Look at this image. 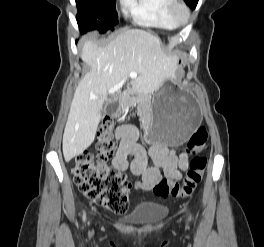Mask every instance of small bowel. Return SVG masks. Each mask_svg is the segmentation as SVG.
<instances>
[{"instance_id": "1", "label": "small bowel", "mask_w": 264, "mask_h": 247, "mask_svg": "<svg viewBox=\"0 0 264 247\" xmlns=\"http://www.w3.org/2000/svg\"><path fill=\"white\" fill-rule=\"evenodd\" d=\"M138 130L130 125H123L117 128L116 137L119 147L113 158V166L119 171L130 168L132 175L141 176L142 180L138 186L143 191L151 190L160 180L159 168H162L164 175L172 181L180 180L182 171L188 166V159L185 154L177 155L166 146L156 143L149 151L140 145L138 140ZM133 158L131 164L128 157ZM155 163L154 167H147L148 157Z\"/></svg>"}]
</instances>
